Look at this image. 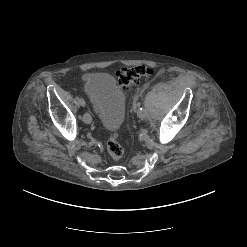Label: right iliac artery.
I'll return each mask as SVG.
<instances>
[{"mask_svg": "<svg viewBox=\"0 0 247 247\" xmlns=\"http://www.w3.org/2000/svg\"><path fill=\"white\" fill-rule=\"evenodd\" d=\"M79 106H80L81 108H84V107L86 106V101H85L84 99H81V100L79 101Z\"/></svg>", "mask_w": 247, "mask_h": 247, "instance_id": "right-iliac-artery-1", "label": "right iliac artery"}]
</instances>
